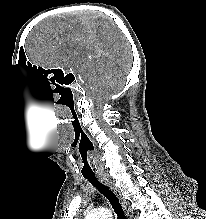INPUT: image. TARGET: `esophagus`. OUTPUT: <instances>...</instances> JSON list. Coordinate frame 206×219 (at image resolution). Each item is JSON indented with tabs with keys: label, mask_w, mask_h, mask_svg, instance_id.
I'll return each mask as SVG.
<instances>
[{
	"label": "esophagus",
	"mask_w": 206,
	"mask_h": 219,
	"mask_svg": "<svg viewBox=\"0 0 206 219\" xmlns=\"http://www.w3.org/2000/svg\"><path fill=\"white\" fill-rule=\"evenodd\" d=\"M98 178L102 183L107 185L116 194L124 209L127 219H132L133 211L131 209L130 203L123 197L122 193L120 192L114 181L107 174H99Z\"/></svg>",
	"instance_id": "1"
}]
</instances>
